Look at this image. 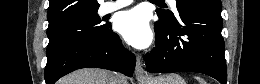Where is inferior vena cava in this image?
<instances>
[{
	"label": "inferior vena cava",
	"instance_id": "obj_1",
	"mask_svg": "<svg viewBox=\"0 0 260 84\" xmlns=\"http://www.w3.org/2000/svg\"><path fill=\"white\" fill-rule=\"evenodd\" d=\"M115 81H116L115 82L116 84H128L126 78L123 75H121V74H118V76H117Z\"/></svg>",
	"mask_w": 260,
	"mask_h": 84
}]
</instances>
